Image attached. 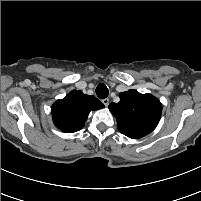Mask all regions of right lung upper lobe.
<instances>
[{"label": "right lung upper lobe", "instance_id": "cb5924a9", "mask_svg": "<svg viewBox=\"0 0 201 201\" xmlns=\"http://www.w3.org/2000/svg\"><path fill=\"white\" fill-rule=\"evenodd\" d=\"M103 107L104 104L94 96L73 90L52 105L53 122L61 131L73 133L84 127L90 111Z\"/></svg>", "mask_w": 201, "mask_h": 201}]
</instances>
